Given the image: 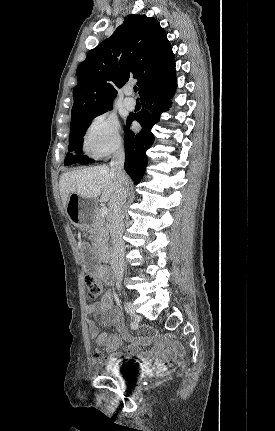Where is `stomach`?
<instances>
[{"instance_id":"stomach-1","label":"stomach","mask_w":275,"mask_h":431,"mask_svg":"<svg viewBox=\"0 0 275 431\" xmlns=\"http://www.w3.org/2000/svg\"><path fill=\"white\" fill-rule=\"evenodd\" d=\"M94 201L92 199L80 197L77 194H70L66 206V214L73 225L81 230L90 229L92 224V214Z\"/></svg>"}]
</instances>
